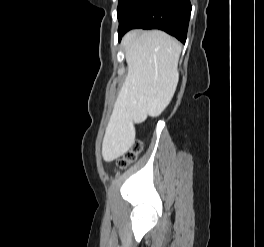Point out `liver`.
<instances>
[{
  "mask_svg": "<svg viewBox=\"0 0 264 247\" xmlns=\"http://www.w3.org/2000/svg\"><path fill=\"white\" fill-rule=\"evenodd\" d=\"M122 45L128 72L106 127L102 156L111 162L127 153L135 142L134 123L157 116L169 105L178 80L181 44L158 31L132 30Z\"/></svg>",
  "mask_w": 264,
  "mask_h": 247,
  "instance_id": "1",
  "label": "liver"
}]
</instances>
